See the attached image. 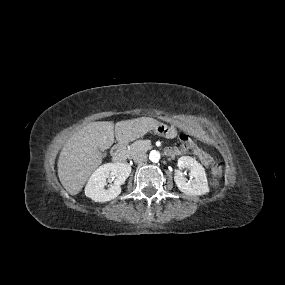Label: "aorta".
Returning a JSON list of instances; mask_svg holds the SVG:
<instances>
[{
  "label": "aorta",
  "instance_id": "aorta-1",
  "mask_svg": "<svg viewBox=\"0 0 285 285\" xmlns=\"http://www.w3.org/2000/svg\"><path fill=\"white\" fill-rule=\"evenodd\" d=\"M149 159L154 163L158 162L160 159V153L156 150H152L149 154Z\"/></svg>",
  "mask_w": 285,
  "mask_h": 285
}]
</instances>
